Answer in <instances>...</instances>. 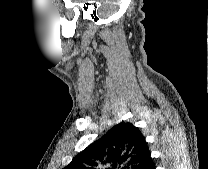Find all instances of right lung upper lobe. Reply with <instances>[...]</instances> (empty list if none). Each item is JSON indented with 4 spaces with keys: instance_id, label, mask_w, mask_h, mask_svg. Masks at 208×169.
<instances>
[{
    "instance_id": "cb5924a9",
    "label": "right lung upper lobe",
    "mask_w": 208,
    "mask_h": 169,
    "mask_svg": "<svg viewBox=\"0 0 208 169\" xmlns=\"http://www.w3.org/2000/svg\"><path fill=\"white\" fill-rule=\"evenodd\" d=\"M150 158L140 130L121 122L76 155L64 169H142Z\"/></svg>"
}]
</instances>
